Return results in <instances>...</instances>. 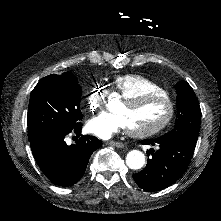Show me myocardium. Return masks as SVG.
Returning a JSON list of instances; mask_svg holds the SVG:
<instances>
[{
	"label": "myocardium",
	"instance_id": "1",
	"mask_svg": "<svg viewBox=\"0 0 221 221\" xmlns=\"http://www.w3.org/2000/svg\"><path fill=\"white\" fill-rule=\"evenodd\" d=\"M124 105L131 110L134 108L141 110V106L145 107L147 105H157L161 109L162 114L154 120L138 122L136 125L131 126L132 128L130 127L132 135L142 139L155 138L160 130L170 122L175 110L174 102L164 90H157L150 96L143 95L140 98H128L125 100Z\"/></svg>",
	"mask_w": 221,
	"mask_h": 221
}]
</instances>
